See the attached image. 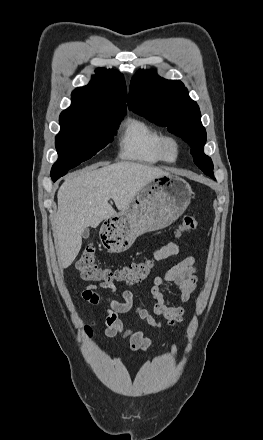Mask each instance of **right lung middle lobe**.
I'll return each instance as SVG.
<instances>
[{"label":"right lung middle lobe","instance_id":"obj_1","mask_svg":"<svg viewBox=\"0 0 263 440\" xmlns=\"http://www.w3.org/2000/svg\"><path fill=\"white\" fill-rule=\"evenodd\" d=\"M123 116L102 114L77 123L60 122L61 131L55 139L58 160L51 170L52 180L64 176L110 143Z\"/></svg>","mask_w":263,"mask_h":440}]
</instances>
